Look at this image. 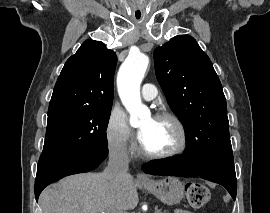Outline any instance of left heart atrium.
Returning a JSON list of instances; mask_svg holds the SVG:
<instances>
[{
	"mask_svg": "<svg viewBox=\"0 0 270 213\" xmlns=\"http://www.w3.org/2000/svg\"><path fill=\"white\" fill-rule=\"evenodd\" d=\"M144 136H145L144 132L143 131H139V133H138V139H139V141L141 143H142V141L144 139Z\"/></svg>",
	"mask_w": 270,
	"mask_h": 213,
	"instance_id": "left-heart-atrium-1",
	"label": "left heart atrium"
}]
</instances>
